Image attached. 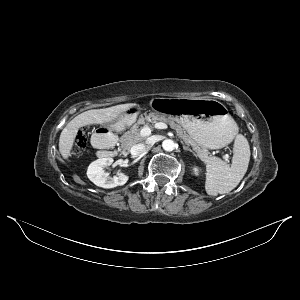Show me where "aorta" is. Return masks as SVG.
<instances>
[{
    "instance_id": "762f6f07",
    "label": "aorta",
    "mask_w": 300,
    "mask_h": 300,
    "mask_svg": "<svg viewBox=\"0 0 300 300\" xmlns=\"http://www.w3.org/2000/svg\"><path fill=\"white\" fill-rule=\"evenodd\" d=\"M162 147L165 151H173L176 147V144L174 143L173 140L171 139H165L163 142H162Z\"/></svg>"
}]
</instances>
